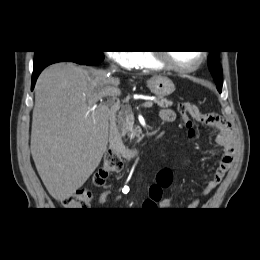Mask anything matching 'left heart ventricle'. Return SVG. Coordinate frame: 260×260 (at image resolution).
<instances>
[{
	"mask_svg": "<svg viewBox=\"0 0 260 260\" xmlns=\"http://www.w3.org/2000/svg\"><path fill=\"white\" fill-rule=\"evenodd\" d=\"M171 60L181 66H189L199 60L200 53L198 51H175L169 53Z\"/></svg>",
	"mask_w": 260,
	"mask_h": 260,
	"instance_id": "1",
	"label": "left heart ventricle"
}]
</instances>
